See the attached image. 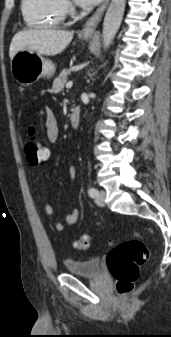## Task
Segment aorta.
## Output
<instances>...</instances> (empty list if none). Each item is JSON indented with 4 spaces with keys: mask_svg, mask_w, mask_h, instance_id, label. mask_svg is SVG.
Here are the masks:
<instances>
[{
    "mask_svg": "<svg viewBox=\"0 0 171 337\" xmlns=\"http://www.w3.org/2000/svg\"><path fill=\"white\" fill-rule=\"evenodd\" d=\"M126 0H111L103 22V46L107 49L113 41L123 18Z\"/></svg>",
    "mask_w": 171,
    "mask_h": 337,
    "instance_id": "obj_1",
    "label": "aorta"
}]
</instances>
